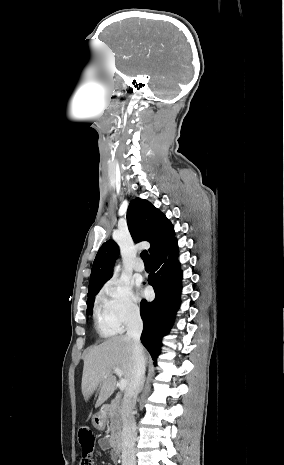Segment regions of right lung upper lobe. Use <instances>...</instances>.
<instances>
[{
	"label": "right lung upper lobe",
	"instance_id": "1",
	"mask_svg": "<svg viewBox=\"0 0 284 465\" xmlns=\"http://www.w3.org/2000/svg\"><path fill=\"white\" fill-rule=\"evenodd\" d=\"M127 223L135 242L150 243V257L175 238L173 225L165 215L150 202L140 198L130 202ZM118 255L119 247L113 240H108L100 247L93 263L87 296L98 293L104 283L111 278L114 261Z\"/></svg>",
	"mask_w": 284,
	"mask_h": 465
}]
</instances>
